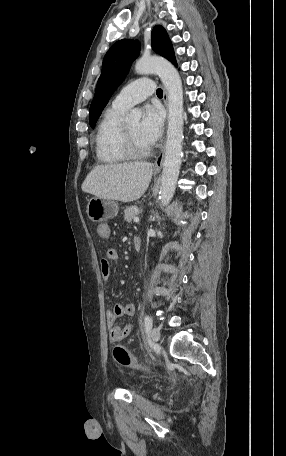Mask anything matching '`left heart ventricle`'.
<instances>
[{
  "instance_id": "left-heart-ventricle-1",
  "label": "left heart ventricle",
  "mask_w": 286,
  "mask_h": 456,
  "mask_svg": "<svg viewBox=\"0 0 286 456\" xmlns=\"http://www.w3.org/2000/svg\"><path fill=\"white\" fill-rule=\"evenodd\" d=\"M135 147L138 150H144L151 146V144L141 135L140 133V123L139 122H132L126 125Z\"/></svg>"
}]
</instances>
